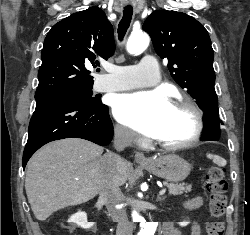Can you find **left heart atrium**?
Returning <instances> with one entry per match:
<instances>
[{
	"instance_id": "39dd6f15",
	"label": "left heart atrium",
	"mask_w": 250,
	"mask_h": 235,
	"mask_svg": "<svg viewBox=\"0 0 250 235\" xmlns=\"http://www.w3.org/2000/svg\"><path fill=\"white\" fill-rule=\"evenodd\" d=\"M170 108L161 91L123 94L116 98L114 114L123 124L147 136H153Z\"/></svg>"
}]
</instances>
